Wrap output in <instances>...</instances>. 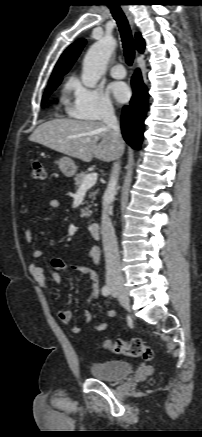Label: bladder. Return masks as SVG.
Wrapping results in <instances>:
<instances>
[{"label":"bladder","instance_id":"bladder-1","mask_svg":"<svg viewBox=\"0 0 202 437\" xmlns=\"http://www.w3.org/2000/svg\"><path fill=\"white\" fill-rule=\"evenodd\" d=\"M133 370V365L125 360H107L90 365L94 378L109 382L124 380L132 374Z\"/></svg>","mask_w":202,"mask_h":437}]
</instances>
